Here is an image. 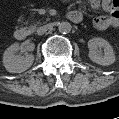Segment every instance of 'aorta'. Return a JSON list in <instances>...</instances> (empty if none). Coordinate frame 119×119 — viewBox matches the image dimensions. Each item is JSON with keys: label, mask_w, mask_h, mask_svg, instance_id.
Here are the masks:
<instances>
[{"label": "aorta", "mask_w": 119, "mask_h": 119, "mask_svg": "<svg viewBox=\"0 0 119 119\" xmlns=\"http://www.w3.org/2000/svg\"><path fill=\"white\" fill-rule=\"evenodd\" d=\"M72 29L71 23L68 21H63L61 23L58 24V30L61 33H69Z\"/></svg>", "instance_id": "1"}]
</instances>
